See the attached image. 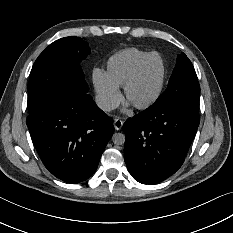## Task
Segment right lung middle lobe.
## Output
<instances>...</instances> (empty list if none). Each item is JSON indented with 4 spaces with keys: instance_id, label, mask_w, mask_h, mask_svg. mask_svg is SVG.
<instances>
[{
    "instance_id": "dd1d6c3e",
    "label": "right lung middle lobe",
    "mask_w": 233,
    "mask_h": 233,
    "mask_svg": "<svg viewBox=\"0 0 233 233\" xmlns=\"http://www.w3.org/2000/svg\"><path fill=\"white\" fill-rule=\"evenodd\" d=\"M89 52L87 42L71 36L56 40L39 55L30 73L29 114L47 106L73 83L88 89L80 61Z\"/></svg>"
}]
</instances>
